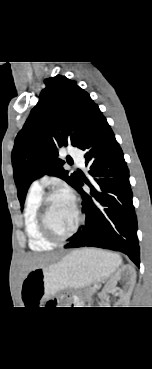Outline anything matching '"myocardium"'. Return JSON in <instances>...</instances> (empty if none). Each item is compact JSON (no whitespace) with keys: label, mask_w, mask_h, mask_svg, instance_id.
<instances>
[{"label":"myocardium","mask_w":152,"mask_h":369,"mask_svg":"<svg viewBox=\"0 0 152 369\" xmlns=\"http://www.w3.org/2000/svg\"><path fill=\"white\" fill-rule=\"evenodd\" d=\"M61 194L67 195L72 200L75 210H76V214H77V220H76L74 227L69 233L65 235L56 234L52 230L50 223H49V203L54 196L61 195ZM83 221H84V215L81 211V208L78 204L77 199L72 193L63 191V190H53L43 195L41 202H40V207H39L38 223H39V227H40L42 234L50 242L61 243L71 238L78 232Z\"/></svg>","instance_id":"myocardium-1"}]
</instances>
